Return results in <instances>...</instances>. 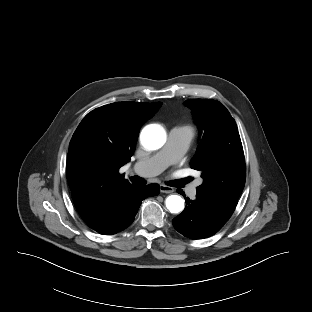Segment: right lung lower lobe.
I'll list each match as a JSON object with an SVG mask.
<instances>
[{
    "mask_svg": "<svg viewBox=\"0 0 312 312\" xmlns=\"http://www.w3.org/2000/svg\"><path fill=\"white\" fill-rule=\"evenodd\" d=\"M159 191L157 184L148 186L132 184L121 195L114 207L100 221L89 227L102 235H112L124 230L133 222L142 200L158 195Z\"/></svg>",
    "mask_w": 312,
    "mask_h": 312,
    "instance_id": "98d812e1",
    "label": "right lung lower lobe"
}]
</instances>
